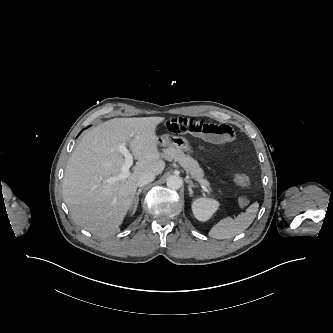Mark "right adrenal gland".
Segmentation results:
<instances>
[{
	"label": "right adrenal gland",
	"instance_id": "right-adrenal-gland-1",
	"mask_svg": "<svg viewBox=\"0 0 333 333\" xmlns=\"http://www.w3.org/2000/svg\"><path fill=\"white\" fill-rule=\"evenodd\" d=\"M143 188H140L138 190V192L136 193V196L134 197L133 199V202H132V206H133V210H132V213H135L136 209H137V206H138V202H139V195L140 193L142 192Z\"/></svg>",
	"mask_w": 333,
	"mask_h": 333
}]
</instances>
